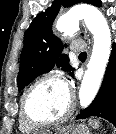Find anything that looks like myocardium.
Returning <instances> with one entry per match:
<instances>
[{"instance_id": "myocardium-1", "label": "myocardium", "mask_w": 116, "mask_h": 134, "mask_svg": "<svg viewBox=\"0 0 116 134\" xmlns=\"http://www.w3.org/2000/svg\"><path fill=\"white\" fill-rule=\"evenodd\" d=\"M46 81H56L59 82L61 84H63L68 92H69V105L67 110L65 111L64 114H62L61 116L57 117V118H51V119H46V120H39L34 118L28 111L27 109V100L28 97L30 95V93L41 83L46 82ZM74 106H75V97L74 94L72 93V91L68 88L66 82L64 81V79L56 74H46L40 78H38L36 81H34L24 92L22 98H21V103H20V112L23 116V118L25 119V121L27 123H29L30 125L34 126V127H48V126H52V125H56V124H60L64 121H66L70 115L72 114L73 110H74Z\"/></svg>"}]
</instances>
